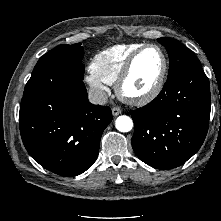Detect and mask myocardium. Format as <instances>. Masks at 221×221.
<instances>
[{
  "instance_id": "f54148a6",
  "label": "myocardium",
  "mask_w": 221,
  "mask_h": 221,
  "mask_svg": "<svg viewBox=\"0 0 221 221\" xmlns=\"http://www.w3.org/2000/svg\"><path fill=\"white\" fill-rule=\"evenodd\" d=\"M148 48H156L162 57V67L154 86L146 93L138 96H130L124 92V84L130 77L134 64L138 57ZM168 71V59L163 48L155 43L143 44L136 49L126 61L121 73L115 82V90L120 99L133 105H145L154 100L162 91Z\"/></svg>"
}]
</instances>
